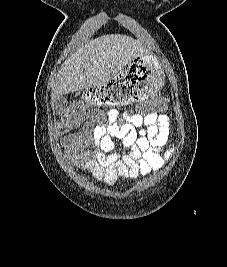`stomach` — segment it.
<instances>
[{
  "label": "stomach",
  "mask_w": 227,
  "mask_h": 267,
  "mask_svg": "<svg viewBox=\"0 0 227 267\" xmlns=\"http://www.w3.org/2000/svg\"><path fill=\"white\" fill-rule=\"evenodd\" d=\"M163 81V71L157 59L152 55H141L130 61L110 82H104V87L86 89L84 104L107 107L138 104L158 92Z\"/></svg>",
  "instance_id": "obj_1"
}]
</instances>
